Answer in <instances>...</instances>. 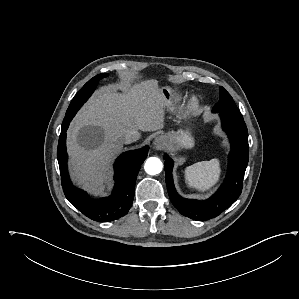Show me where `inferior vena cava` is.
<instances>
[{
	"instance_id": "obj_1",
	"label": "inferior vena cava",
	"mask_w": 299,
	"mask_h": 299,
	"mask_svg": "<svg viewBox=\"0 0 299 299\" xmlns=\"http://www.w3.org/2000/svg\"><path fill=\"white\" fill-rule=\"evenodd\" d=\"M140 138V133L137 130H129L125 135L124 142L126 144L137 141Z\"/></svg>"
}]
</instances>
